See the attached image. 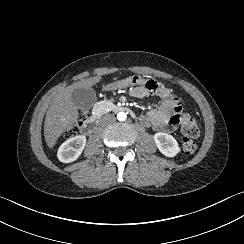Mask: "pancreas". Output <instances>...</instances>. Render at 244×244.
<instances>
[{
  "mask_svg": "<svg viewBox=\"0 0 244 244\" xmlns=\"http://www.w3.org/2000/svg\"><path fill=\"white\" fill-rule=\"evenodd\" d=\"M98 104H100L105 110H109L112 105V101L111 100L101 101V102H98Z\"/></svg>",
  "mask_w": 244,
  "mask_h": 244,
  "instance_id": "obj_1",
  "label": "pancreas"
}]
</instances>
